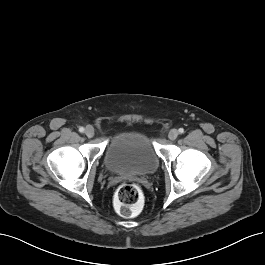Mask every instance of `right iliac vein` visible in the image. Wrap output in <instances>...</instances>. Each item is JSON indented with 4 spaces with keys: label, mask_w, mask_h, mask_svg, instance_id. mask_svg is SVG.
I'll return each instance as SVG.
<instances>
[{
    "label": "right iliac vein",
    "mask_w": 265,
    "mask_h": 265,
    "mask_svg": "<svg viewBox=\"0 0 265 265\" xmlns=\"http://www.w3.org/2000/svg\"><path fill=\"white\" fill-rule=\"evenodd\" d=\"M85 134L87 137L92 138L94 136V128L92 126H87L85 129Z\"/></svg>",
    "instance_id": "right-iliac-vein-1"
}]
</instances>
